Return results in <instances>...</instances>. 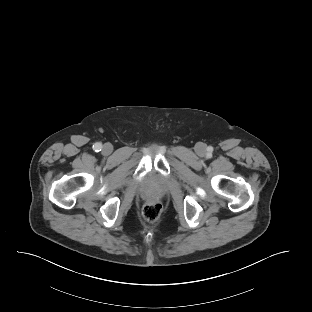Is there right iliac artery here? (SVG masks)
<instances>
[{"label": "right iliac artery", "instance_id": "obj_1", "mask_svg": "<svg viewBox=\"0 0 312 312\" xmlns=\"http://www.w3.org/2000/svg\"><path fill=\"white\" fill-rule=\"evenodd\" d=\"M93 149H94L95 152L101 151V149H102V144H101V143H95V144L93 145Z\"/></svg>", "mask_w": 312, "mask_h": 312}]
</instances>
